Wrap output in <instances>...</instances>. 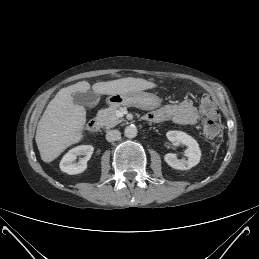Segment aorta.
Wrapping results in <instances>:
<instances>
[{
    "label": "aorta",
    "mask_w": 259,
    "mask_h": 259,
    "mask_svg": "<svg viewBox=\"0 0 259 259\" xmlns=\"http://www.w3.org/2000/svg\"><path fill=\"white\" fill-rule=\"evenodd\" d=\"M137 133L138 131L135 125H129L124 130V134L127 138H135Z\"/></svg>",
    "instance_id": "obj_1"
}]
</instances>
